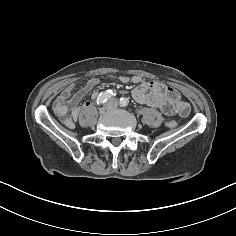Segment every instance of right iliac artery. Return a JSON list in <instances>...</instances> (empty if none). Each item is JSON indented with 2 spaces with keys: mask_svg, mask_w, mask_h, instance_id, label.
I'll return each instance as SVG.
<instances>
[{
  "mask_svg": "<svg viewBox=\"0 0 236 236\" xmlns=\"http://www.w3.org/2000/svg\"><path fill=\"white\" fill-rule=\"evenodd\" d=\"M116 93L114 90H106L104 92H101L97 98V104H103L108 99H110L112 96H115Z\"/></svg>",
  "mask_w": 236,
  "mask_h": 236,
  "instance_id": "obj_1",
  "label": "right iliac artery"
}]
</instances>
